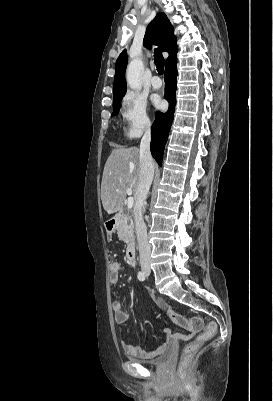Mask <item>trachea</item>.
<instances>
[{
	"instance_id": "trachea-1",
	"label": "trachea",
	"mask_w": 273,
	"mask_h": 401,
	"mask_svg": "<svg viewBox=\"0 0 273 401\" xmlns=\"http://www.w3.org/2000/svg\"><path fill=\"white\" fill-rule=\"evenodd\" d=\"M154 62H155L156 68L158 70V73L160 75H162L164 72L165 60H164L162 52H161V50H159V48H157L154 52Z\"/></svg>"
}]
</instances>
